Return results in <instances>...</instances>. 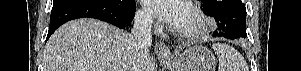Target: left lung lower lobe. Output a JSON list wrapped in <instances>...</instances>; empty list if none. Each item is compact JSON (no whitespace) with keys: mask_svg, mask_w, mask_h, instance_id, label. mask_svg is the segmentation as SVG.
Here are the masks:
<instances>
[{"mask_svg":"<svg viewBox=\"0 0 301 71\" xmlns=\"http://www.w3.org/2000/svg\"><path fill=\"white\" fill-rule=\"evenodd\" d=\"M205 13L215 18L214 37L227 39L246 38V8L241 0H222L213 4Z\"/></svg>","mask_w":301,"mask_h":71,"instance_id":"0a47b994","label":"left lung lower lobe"}]
</instances>
